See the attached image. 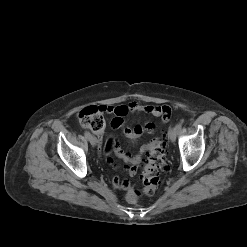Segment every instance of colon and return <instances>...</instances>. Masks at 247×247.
Segmentation results:
<instances>
[{
  "label": "colon",
  "instance_id": "colon-1",
  "mask_svg": "<svg viewBox=\"0 0 247 247\" xmlns=\"http://www.w3.org/2000/svg\"><path fill=\"white\" fill-rule=\"evenodd\" d=\"M105 108L104 106H88L78 114L80 124L93 132L101 133L105 128ZM166 168L164 143L160 139H155L148 148V157L143 168V193L152 195L160 184V172ZM141 192L130 189L126 193L128 202L138 201Z\"/></svg>",
  "mask_w": 247,
  "mask_h": 247
}]
</instances>
